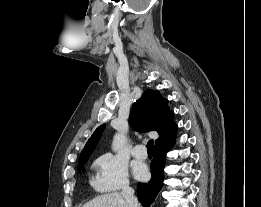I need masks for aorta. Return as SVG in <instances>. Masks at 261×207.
<instances>
[{
	"instance_id": "1",
	"label": "aorta",
	"mask_w": 261,
	"mask_h": 207,
	"mask_svg": "<svg viewBox=\"0 0 261 207\" xmlns=\"http://www.w3.org/2000/svg\"><path fill=\"white\" fill-rule=\"evenodd\" d=\"M125 142H126V137L122 133L115 134V136L113 138V143H112L113 151L117 152L120 149H122Z\"/></svg>"
}]
</instances>
